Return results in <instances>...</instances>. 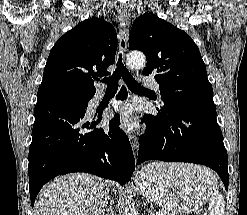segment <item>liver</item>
<instances>
[{"mask_svg": "<svg viewBox=\"0 0 247 215\" xmlns=\"http://www.w3.org/2000/svg\"><path fill=\"white\" fill-rule=\"evenodd\" d=\"M108 194L107 181L86 173L68 174L40 191L34 215H104Z\"/></svg>", "mask_w": 247, "mask_h": 215, "instance_id": "1", "label": "liver"}]
</instances>
